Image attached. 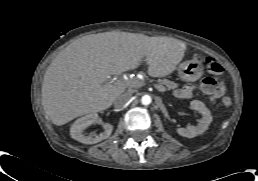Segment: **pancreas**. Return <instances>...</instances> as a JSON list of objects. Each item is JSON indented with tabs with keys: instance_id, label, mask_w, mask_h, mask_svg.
Returning a JSON list of instances; mask_svg holds the SVG:
<instances>
[{
	"instance_id": "1",
	"label": "pancreas",
	"mask_w": 258,
	"mask_h": 181,
	"mask_svg": "<svg viewBox=\"0 0 258 181\" xmlns=\"http://www.w3.org/2000/svg\"><path fill=\"white\" fill-rule=\"evenodd\" d=\"M158 85L165 87L167 90H174L178 87L177 83L167 79L160 80Z\"/></svg>"
}]
</instances>
